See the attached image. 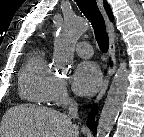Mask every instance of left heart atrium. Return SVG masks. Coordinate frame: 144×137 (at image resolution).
<instances>
[{
    "label": "left heart atrium",
    "instance_id": "left-heart-atrium-1",
    "mask_svg": "<svg viewBox=\"0 0 144 137\" xmlns=\"http://www.w3.org/2000/svg\"><path fill=\"white\" fill-rule=\"evenodd\" d=\"M73 88L81 96L96 93L102 85V74L93 62H83L78 65L73 76Z\"/></svg>",
    "mask_w": 144,
    "mask_h": 137
}]
</instances>
